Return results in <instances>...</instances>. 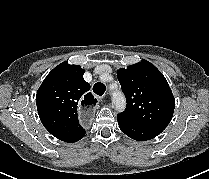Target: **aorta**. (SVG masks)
Returning <instances> with one entry per match:
<instances>
[{"label": "aorta", "instance_id": "1", "mask_svg": "<svg viewBox=\"0 0 209 179\" xmlns=\"http://www.w3.org/2000/svg\"><path fill=\"white\" fill-rule=\"evenodd\" d=\"M112 101L117 111L122 112L126 107V100L121 92H114L112 94Z\"/></svg>", "mask_w": 209, "mask_h": 179}]
</instances>
